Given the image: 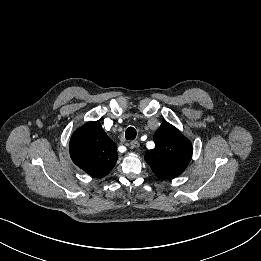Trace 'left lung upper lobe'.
<instances>
[{
    "mask_svg": "<svg viewBox=\"0 0 261 261\" xmlns=\"http://www.w3.org/2000/svg\"><path fill=\"white\" fill-rule=\"evenodd\" d=\"M154 142L155 148L145 154V160L154 174L162 179L180 175L191 159V142L166 121L155 132Z\"/></svg>",
    "mask_w": 261,
    "mask_h": 261,
    "instance_id": "1",
    "label": "left lung upper lobe"
}]
</instances>
